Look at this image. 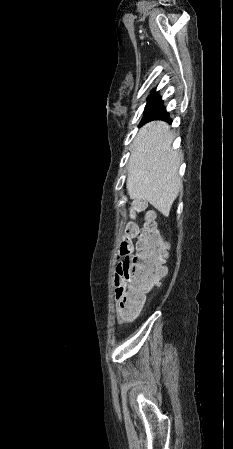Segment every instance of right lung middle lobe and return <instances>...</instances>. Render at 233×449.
Masks as SVG:
<instances>
[{"label":"right lung middle lobe","instance_id":"right-lung-middle-lobe-1","mask_svg":"<svg viewBox=\"0 0 233 449\" xmlns=\"http://www.w3.org/2000/svg\"><path fill=\"white\" fill-rule=\"evenodd\" d=\"M165 111V108L163 107V101L157 94H152L147 99V104L144 111V117L141 120L140 124L145 123L146 121L150 120L155 115Z\"/></svg>","mask_w":233,"mask_h":449}]
</instances>
